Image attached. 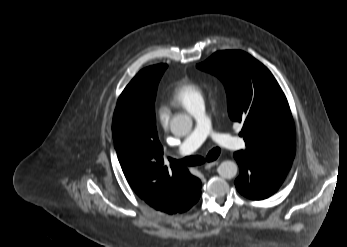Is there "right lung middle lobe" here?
Returning <instances> with one entry per match:
<instances>
[{
    "label": "right lung middle lobe",
    "instance_id": "1",
    "mask_svg": "<svg viewBox=\"0 0 347 247\" xmlns=\"http://www.w3.org/2000/svg\"><path fill=\"white\" fill-rule=\"evenodd\" d=\"M167 68L166 64H159L147 67L141 70L135 77L143 84V100L144 103L153 112L155 109L154 102L159 80ZM155 116H153V124H155Z\"/></svg>",
    "mask_w": 347,
    "mask_h": 247
}]
</instances>
